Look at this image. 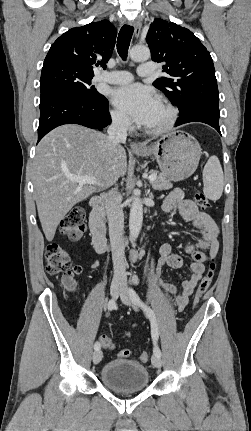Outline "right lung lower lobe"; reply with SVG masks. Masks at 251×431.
<instances>
[{"instance_id":"obj_1","label":"right lung lower lobe","mask_w":251,"mask_h":431,"mask_svg":"<svg viewBox=\"0 0 251 431\" xmlns=\"http://www.w3.org/2000/svg\"><path fill=\"white\" fill-rule=\"evenodd\" d=\"M111 123L108 100L85 99L63 91H49L40 97L38 142L63 124H79L102 130Z\"/></svg>"}]
</instances>
